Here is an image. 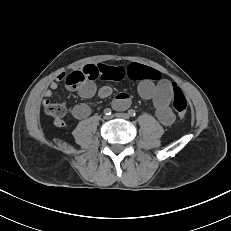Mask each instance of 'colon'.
<instances>
[{
	"instance_id": "colon-1",
	"label": "colon",
	"mask_w": 231,
	"mask_h": 231,
	"mask_svg": "<svg viewBox=\"0 0 231 231\" xmlns=\"http://www.w3.org/2000/svg\"><path fill=\"white\" fill-rule=\"evenodd\" d=\"M145 73L148 76V78H150L155 82L160 81L161 79V74L155 69H151L147 67L145 69ZM83 82H84V77L79 71L70 73L65 79L66 86L71 90L79 88L83 84ZM172 105L180 118H183L186 115L187 107H188L187 99L183 94V92L181 91V89L174 84H173ZM44 109L47 114L52 115L57 119L63 118L66 114L65 107L60 104L48 103L44 105Z\"/></svg>"
}]
</instances>
